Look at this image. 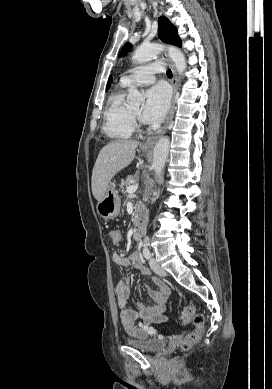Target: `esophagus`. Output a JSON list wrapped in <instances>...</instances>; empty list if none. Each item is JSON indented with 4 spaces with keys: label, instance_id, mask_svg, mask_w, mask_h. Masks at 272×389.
I'll return each mask as SVG.
<instances>
[{
    "label": "esophagus",
    "instance_id": "34e87169",
    "mask_svg": "<svg viewBox=\"0 0 272 389\" xmlns=\"http://www.w3.org/2000/svg\"><path fill=\"white\" fill-rule=\"evenodd\" d=\"M162 58L169 63L170 68L172 70L171 85H172V88H173V98H172V103H171V109H170L169 115L167 117V120H166L164 126L161 127L154 135L150 136L142 144L143 148H152L155 145L157 140L167 131L168 126H169V124H170V122H171V120L173 118V114H174V102H175V98H176V94H177V75H176V70H175L174 64L169 59L166 51L163 52Z\"/></svg>",
    "mask_w": 272,
    "mask_h": 389
}]
</instances>
